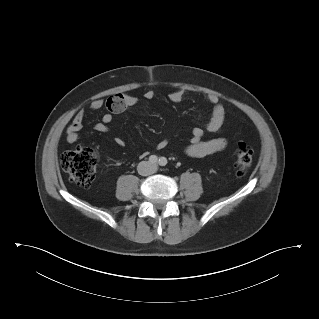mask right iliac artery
<instances>
[{"instance_id":"right-iliac-artery-1","label":"right iliac artery","mask_w":319,"mask_h":319,"mask_svg":"<svg viewBox=\"0 0 319 319\" xmlns=\"http://www.w3.org/2000/svg\"><path fill=\"white\" fill-rule=\"evenodd\" d=\"M157 161H158L157 156H155V155H151V156L149 157V162H150V163H152V164H156V163H157Z\"/></svg>"}]
</instances>
